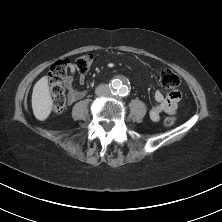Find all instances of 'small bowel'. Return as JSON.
<instances>
[{
  "instance_id": "c3829d8e",
  "label": "small bowel",
  "mask_w": 222,
  "mask_h": 222,
  "mask_svg": "<svg viewBox=\"0 0 222 222\" xmlns=\"http://www.w3.org/2000/svg\"><path fill=\"white\" fill-rule=\"evenodd\" d=\"M75 74L74 66L70 68V74L66 77L64 85L68 93V101L74 102L83 98L86 94L84 90L75 88ZM78 83H85V75L79 74ZM154 100L156 104L150 109L149 116L151 120L157 122L160 120L162 113L170 114L174 109L179 110L183 108L185 101L183 93L180 90L174 89L168 93L167 98L160 91L154 93Z\"/></svg>"
}]
</instances>
